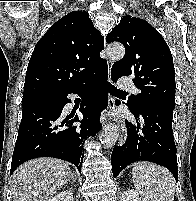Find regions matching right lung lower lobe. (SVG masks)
<instances>
[{
  "instance_id": "right-lung-lower-lobe-1",
  "label": "right lung lower lobe",
  "mask_w": 196,
  "mask_h": 201,
  "mask_svg": "<svg viewBox=\"0 0 196 201\" xmlns=\"http://www.w3.org/2000/svg\"><path fill=\"white\" fill-rule=\"evenodd\" d=\"M108 69L101 68L84 83L53 95L44 103L23 107L22 120L15 144L10 174L22 163L38 157H54L73 163L81 172L83 145L88 136L101 129L99 116L108 104L105 89ZM81 95L83 119L62 113L71 100L67 95ZM75 122H80L79 127Z\"/></svg>"
}]
</instances>
